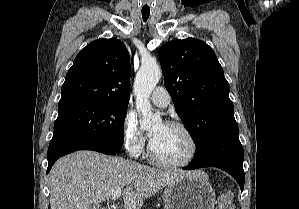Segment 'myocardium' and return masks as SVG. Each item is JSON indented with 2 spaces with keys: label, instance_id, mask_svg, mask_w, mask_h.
Instances as JSON below:
<instances>
[{
  "label": "myocardium",
  "instance_id": "obj_1",
  "mask_svg": "<svg viewBox=\"0 0 299 209\" xmlns=\"http://www.w3.org/2000/svg\"><path fill=\"white\" fill-rule=\"evenodd\" d=\"M166 126L172 127V128H176L181 130L189 139V142L191 144V150L189 155L182 161L179 162H167L164 160L159 159L152 148L151 143L148 145V156L151 160V162L161 168H182V167H186L188 165H190L195 158L198 155V151H199V145H198V141L194 135V133L190 130L189 127H187L185 124L179 122V121H167L165 122Z\"/></svg>",
  "mask_w": 299,
  "mask_h": 209
}]
</instances>
